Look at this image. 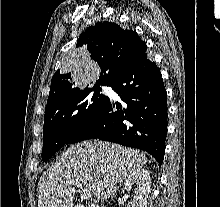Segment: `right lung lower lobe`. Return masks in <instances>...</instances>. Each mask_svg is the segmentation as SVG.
I'll return each instance as SVG.
<instances>
[{"label":"right lung lower lobe","instance_id":"right-lung-lower-lobe-1","mask_svg":"<svg viewBox=\"0 0 220 207\" xmlns=\"http://www.w3.org/2000/svg\"><path fill=\"white\" fill-rule=\"evenodd\" d=\"M123 105L108 97L70 137L68 144L100 139L138 148L163 163L167 134V94L156 64L144 53L109 84Z\"/></svg>","mask_w":220,"mask_h":207}]
</instances>
